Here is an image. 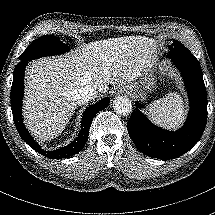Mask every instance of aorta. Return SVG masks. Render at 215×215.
<instances>
[{"instance_id": "762f6f07", "label": "aorta", "mask_w": 215, "mask_h": 215, "mask_svg": "<svg viewBox=\"0 0 215 215\" xmlns=\"http://www.w3.org/2000/svg\"><path fill=\"white\" fill-rule=\"evenodd\" d=\"M113 107H114V111L117 114L124 117L130 116L133 111V105L131 101L124 96L117 97L114 100Z\"/></svg>"}]
</instances>
